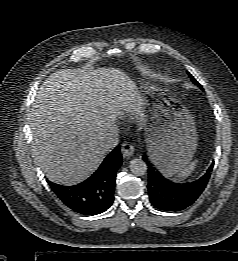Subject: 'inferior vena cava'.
<instances>
[{"mask_svg": "<svg viewBox=\"0 0 238 261\" xmlns=\"http://www.w3.org/2000/svg\"><path fill=\"white\" fill-rule=\"evenodd\" d=\"M119 130L117 126L111 127L110 131L107 133L106 137L103 140V149L105 151H111L118 145L119 138H118Z\"/></svg>", "mask_w": 238, "mask_h": 261, "instance_id": "obj_1", "label": "inferior vena cava"}]
</instances>
